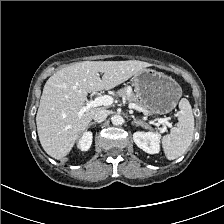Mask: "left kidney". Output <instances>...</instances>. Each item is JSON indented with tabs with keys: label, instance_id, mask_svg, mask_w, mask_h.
<instances>
[{
	"label": "left kidney",
	"instance_id": "5707ae66",
	"mask_svg": "<svg viewBox=\"0 0 224 224\" xmlns=\"http://www.w3.org/2000/svg\"><path fill=\"white\" fill-rule=\"evenodd\" d=\"M135 144L149 154H156L160 151V134L156 132L137 131L133 134Z\"/></svg>",
	"mask_w": 224,
	"mask_h": 224
}]
</instances>
